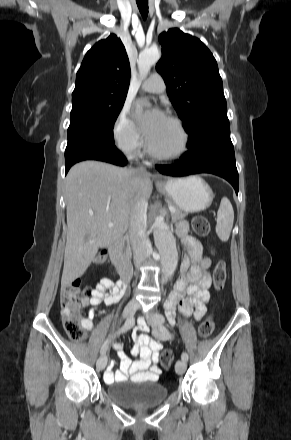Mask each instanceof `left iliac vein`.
<instances>
[{
    "label": "left iliac vein",
    "mask_w": 291,
    "mask_h": 440,
    "mask_svg": "<svg viewBox=\"0 0 291 440\" xmlns=\"http://www.w3.org/2000/svg\"><path fill=\"white\" fill-rule=\"evenodd\" d=\"M149 323L153 328V334L160 338V339H166L162 332L159 331V328L163 325L164 323V317L159 314V313H152L150 314L149 318ZM186 369V361L184 360H179L177 361L176 365H175V371L178 375H182L185 372Z\"/></svg>",
    "instance_id": "obj_1"
}]
</instances>
